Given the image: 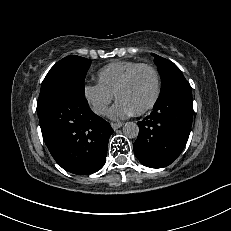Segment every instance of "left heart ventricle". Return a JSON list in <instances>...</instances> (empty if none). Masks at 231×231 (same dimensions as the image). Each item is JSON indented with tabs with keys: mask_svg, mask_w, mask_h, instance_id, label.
<instances>
[{
	"mask_svg": "<svg viewBox=\"0 0 231 231\" xmlns=\"http://www.w3.org/2000/svg\"><path fill=\"white\" fill-rule=\"evenodd\" d=\"M154 93V75L150 70L142 69L120 93L118 101L128 106L133 112H136L152 100Z\"/></svg>",
	"mask_w": 231,
	"mask_h": 231,
	"instance_id": "obj_1",
	"label": "left heart ventricle"
}]
</instances>
